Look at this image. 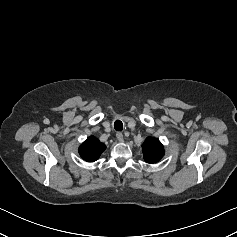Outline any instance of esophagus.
Wrapping results in <instances>:
<instances>
[{"label": "esophagus", "mask_w": 237, "mask_h": 237, "mask_svg": "<svg viewBox=\"0 0 237 237\" xmlns=\"http://www.w3.org/2000/svg\"><path fill=\"white\" fill-rule=\"evenodd\" d=\"M116 137L118 141L122 142L123 141V134L121 132H117Z\"/></svg>", "instance_id": "1"}]
</instances>
